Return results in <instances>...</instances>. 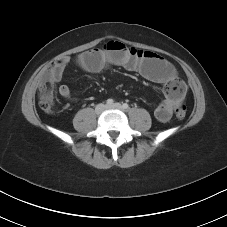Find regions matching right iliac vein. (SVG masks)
<instances>
[{"label": "right iliac vein", "instance_id": "obj_1", "mask_svg": "<svg viewBox=\"0 0 227 227\" xmlns=\"http://www.w3.org/2000/svg\"><path fill=\"white\" fill-rule=\"evenodd\" d=\"M106 108H107V106L105 104H103V103L98 104L95 108V112L97 114H101Z\"/></svg>", "mask_w": 227, "mask_h": 227}]
</instances>
